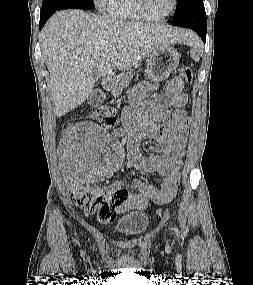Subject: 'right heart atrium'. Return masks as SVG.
Wrapping results in <instances>:
<instances>
[{"instance_id": "d8ad5b80", "label": "right heart atrium", "mask_w": 253, "mask_h": 285, "mask_svg": "<svg viewBox=\"0 0 253 285\" xmlns=\"http://www.w3.org/2000/svg\"><path fill=\"white\" fill-rule=\"evenodd\" d=\"M106 1L107 0H94L95 4L100 8H103L105 6Z\"/></svg>"}]
</instances>
